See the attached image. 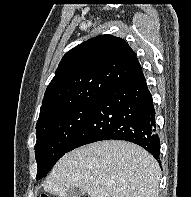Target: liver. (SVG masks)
I'll return each mask as SVG.
<instances>
[{
  "label": "liver",
  "mask_w": 191,
  "mask_h": 197,
  "mask_svg": "<svg viewBox=\"0 0 191 197\" xmlns=\"http://www.w3.org/2000/svg\"><path fill=\"white\" fill-rule=\"evenodd\" d=\"M161 170L142 147L105 140L65 154L43 182L44 190L64 197L78 188L90 197H158Z\"/></svg>",
  "instance_id": "1"
}]
</instances>
